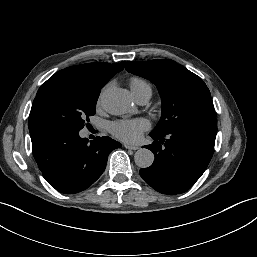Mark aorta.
Returning a JSON list of instances; mask_svg holds the SVG:
<instances>
[{"mask_svg":"<svg viewBox=\"0 0 257 257\" xmlns=\"http://www.w3.org/2000/svg\"><path fill=\"white\" fill-rule=\"evenodd\" d=\"M101 103L111 114L121 115L132 110V101L129 92L119 87L105 88L101 94ZM134 161L140 168H148L153 164L154 154L149 149L141 148L136 151Z\"/></svg>","mask_w":257,"mask_h":257,"instance_id":"aorta-1","label":"aorta"}]
</instances>
